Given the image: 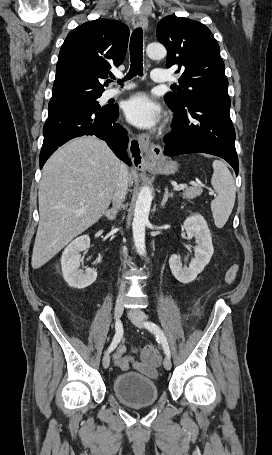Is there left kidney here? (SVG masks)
I'll return each instance as SVG.
<instances>
[{"mask_svg":"<svg viewBox=\"0 0 272 455\" xmlns=\"http://www.w3.org/2000/svg\"><path fill=\"white\" fill-rule=\"evenodd\" d=\"M184 228L188 239L195 238L197 246L194 248V256L189 267H183L178 255L173 254L169 259V266L174 277L183 284L195 280L204 267L209 263L214 249L211 234L204 217L200 214L189 216L184 221Z\"/></svg>","mask_w":272,"mask_h":455,"instance_id":"obj_1","label":"left kidney"}]
</instances>
